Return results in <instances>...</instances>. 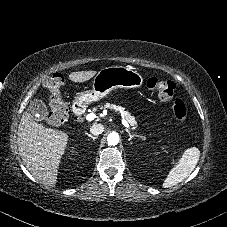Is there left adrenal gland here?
Here are the masks:
<instances>
[{
    "label": "left adrenal gland",
    "mask_w": 227,
    "mask_h": 227,
    "mask_svg": "<svg viewBox=\"0 0 227 227\" xmlns=\"http://www.w3.org/2000/svg\"><path fill=\"white\" fill-rule=\"evenodd\" d=\"M126 132L129 134V141L131 142L132 141V139L135 137V136H137V135H135V134H131V132L128 130V129H126Z\"/></svg>",
    "instance_id": "1"
}]
</instances>
